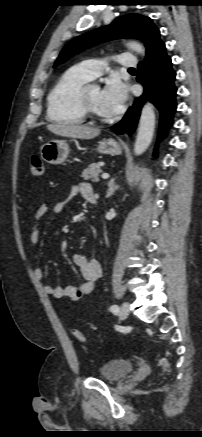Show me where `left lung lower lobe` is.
Instances as JSON below:
<instances>
[{"label":"left lung lower lobe","instance_id":"0a47b994","mask_svg":"<svg viewBox=\"0 0 202 437\" xmlns=\"http://www.w3.org/2000/svg\"><path fill=\"white\" fill-rule=\"evenodd\" d=\"M137 81L145 88V93L137 98L128 109L124 118L111 129L117 134H132L136 128L143 104L147 99L160 112L159 140L167 135L177 108L175 86L176 72L172 68L171 58L166 53L165 44H160L153 53L139 63Z\"/></svg>","mask_w":202,"mask_h":437}]
</instances>
